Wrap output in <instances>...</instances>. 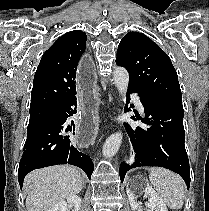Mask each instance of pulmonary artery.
<instances>
[{
	"mask_svg": "<svg viewBox=\"0 0 209 211\" xmlns=\"http://www.w3.org/2000/svg\"><path fill=\"white\" fill-rule=\"evenodd\" d=\"M131 96H132L133 100L135 101V104H136L137 108L141 112H143L144 111V107L142 105V102H141L140 98L136 94H132Z\"/></svg>",
	"mask_w": 209,
	"mask_h": 211,
	"instance_id": "1",
	"label": "pulmonary artery"
}]
</instances>
